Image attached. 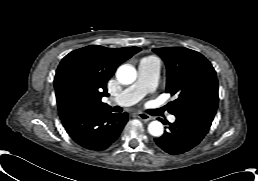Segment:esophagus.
Wrapping results in <instances>:
<instances>
[{
  "mask_svg": "<svg viewBox=\"0 0 258 181\" xmlns=\"http://www.w3.org/2000/svg\"><path fill=\"white\" fill-rule=\"evenodd\" d=\"M137 117L144 122L152 120V117L144 112H138Z\"/></svg>",
  "mask_w": 258,
  "mask_h": 181,
  "instance_id": "34e87169",
  "label": "esophagus"
}]
</instances>
